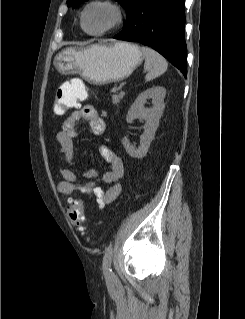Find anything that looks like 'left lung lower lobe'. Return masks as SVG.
<instances>
[{
    "instance_id": "1",
    "label": "left lung lower lobe",
    "mask_w": 245,
    "mask_h": 319,
    "mask_svg": "<svg viewBox=\"0 0 245 319\" xmlns=\"http://www.w3.org/2000/svg\"><path fill=\"white\" fill-rule=\"evenodd\" d=\"M185 0H139L118 40L150 46L187 75Z\"/></svg>"
}]
</instances>
